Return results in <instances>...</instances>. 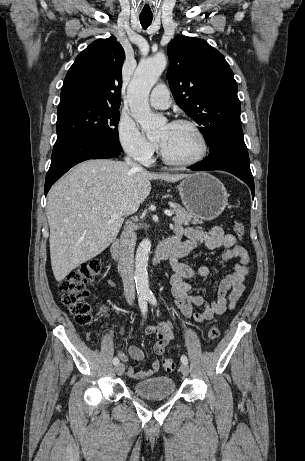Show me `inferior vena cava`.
<instances>
[{
    "label": "inferior vena cava",
    "mask_w": 305,
    "mask_h": 461,
    "mask_svg": "<svg viewBox=\"0 0 305 461\" xmlns=\"http://www.w3.org/2000/svg\"><path fill=\"white\" fill-rule=\"evenodd\" d=\"M127 165L133 171H141L142 167L134 163L129 157L125 158ZM136 226L130 221H127L120 238L119 248V269L124 287V295L129 304H133L135 300V284H134V248L137 240Z\"/></svg>",
    "instance_id": "602c4592"
}]
</instances>
